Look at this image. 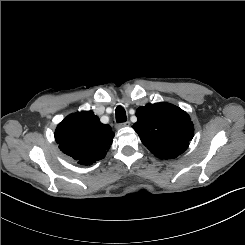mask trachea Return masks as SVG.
<instances>
[{
  "label": "trachea",
  "instance_id": "1",
  "mask_svg": "<svg viewBox=\"0 0 245 245\" xmlns=\"http://www.w3.org/2000/svg\"><path fill=\"white\" fill-rule=\"evenodd\" d=\"M115 114H116V122L118 123L126 122L127 119L126 112L122 106H118L116 108Z\"/></svg>",
  "mask_w": 245,
  "mask_h": 245
}]
</instances>
